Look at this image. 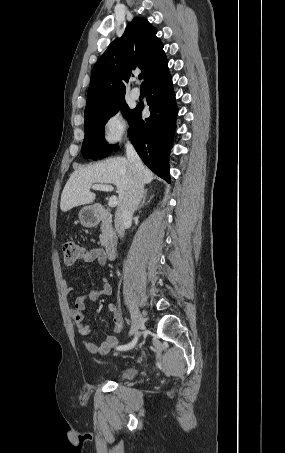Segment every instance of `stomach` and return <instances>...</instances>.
Listing matches in <instances>:
<instances>
[{
    "instance_id": "0dacf381",
    "label": "stomach",
    "mask_w": 285,
    "mask_h": 453,
    "mask_svg": "<svg viewBox=\"0 0 285 453\" xmlns=\"http://www.w3.org/2000/svg\"><path fill=\"white\" fill-rule=\"evenodd\" d=\"M79 220L84 227H94L98 223V213L94 207H83L79 211Z\"/></svg>"
}]
</instances>
